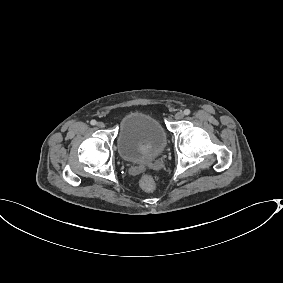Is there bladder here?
Returning a JSON list of instances; mask_svg holds the SVG:
<instances>
[{"instance_id": "bladder-1", "label": "bladder", "mask_w": 283, "mask_h": 283, "mask_svg": "<svg viewBox=\"0 0 283 283\" xmlns=\"http://www.w3.org/2000/svg\"><path fill=\"white\" fill-rule=\"evenodd\" d=\"M167 144L163 125L151 114L132 112L118 126L116 150L128 162L156 158Z\"/></svg>"}]
</instances>
